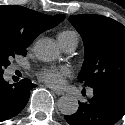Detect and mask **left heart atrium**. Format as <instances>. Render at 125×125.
Returning <instances> with one entry per match:
<instances>
[{
  "instance_id": "left-heart-atrium-1",
  "label": "left heart atrium",
  "mask_w": 125,
  "mask_h": 125,
  "mask_svg": "<svg viewBox=\"0 0 125 125\" xmlns=\"http://www.w3.org/2000/svg\"><path fill=\"white\" fill-rule=\"evenodd\" d=\"M70 74V70L66 66H46L38 72L40 80L51 87H60L64 83V78Z\"/></svg>"
}]
</instances>
